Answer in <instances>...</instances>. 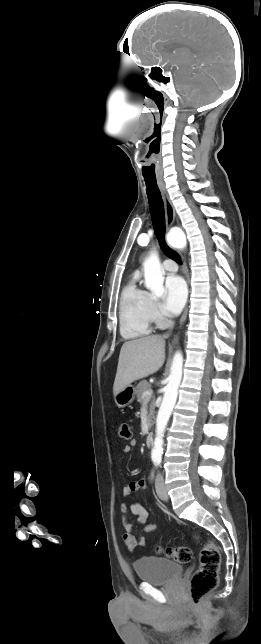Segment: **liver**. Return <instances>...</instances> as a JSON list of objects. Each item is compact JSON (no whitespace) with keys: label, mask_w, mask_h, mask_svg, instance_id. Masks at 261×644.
Returning a JSON list of instances; mask_svg holds the SVG:
<instances>
[{"label":"liver","mask_w":261,"mask_h":644,"mask_svg":"<svg viewBox=\"0 0 261 644\" xmlns=\"http://www.w3.org/2000/svg\"><path fill=\"white\" fill-rule=\"evenodd\" d=\"M165 360V340L153 335L125 342L120 350L114 396L132 382L157 372Z\"/></svg>","instance_id":"obj_1"}]
</instances>
